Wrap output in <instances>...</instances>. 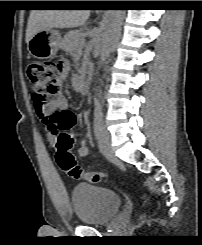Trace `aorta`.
I'll return each instance as SVG.
<instances>
[{"instance_id":"762f6f07","label":"aorta","mask_w":202,"mask_h":245,"mask_svg":"<svg viewBox=\"0 0 202 245\" xmlns=\"http://www.w3.org/2000/svg\"><path fill=\"white\" fill-rule=\"evenodd\" d=\"M125 10H110L104 24V32L102 36L100 58L98 67L100 68L109 57L116 37L120 31Z\"/></svg>"}]
</instances>
